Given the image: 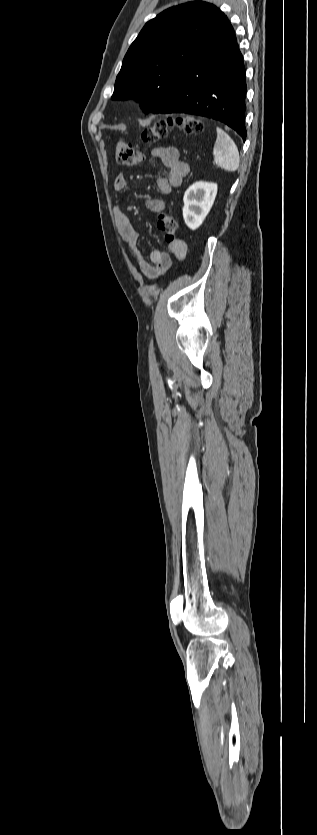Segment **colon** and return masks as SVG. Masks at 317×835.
Wrapping results in <instances>:
<instances>
[{
	"instance_id": "colon-1",
	"label": "colon",
	"mask_w": 317,
	"mask_h": 835,
	"mask_svg": "<svg viewBox=\"0 0 317 835\" xmlns=\"http://www.w3.org/2000/svg\"><path fill=\"white\" fill-rule=\"evenodd\" d=\"M176 125L181 131L188 134H197L201 132V123L192 117H180L173 120H159L151 127L146 128L142 132V141L146 144L155 143L162 138H165L171 128ZM142 153L132 144L119 140L116 144V159L126 166H135L142 160ZM177 220L169 213L161 212L157 216V227L164 235L168 242L175 241L177 230Z\"/></svg>"
}]
</instances>
